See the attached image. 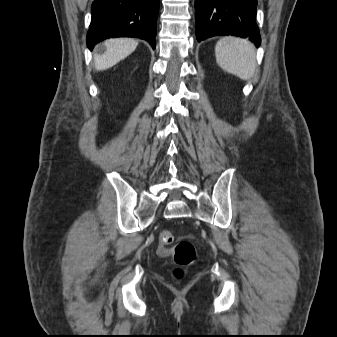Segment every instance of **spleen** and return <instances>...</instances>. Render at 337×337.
Segmentation results:
<instances>
[{"instance_id": "obj_1", "label": "spleen", "mask_w": 337, "mask_h": 337, "mask_svg": "<svg viewBox=\"0 0 337 337\" xmlns=\"http://www.w3.org/2000/svg\"><path fill=\"white\" fill-rule=\"evenodd\" d=\"M217 64L226 72L242 80H249L256 68L253 44L238 37H223L215 46Z\"/></svg>"}]
</instances>
